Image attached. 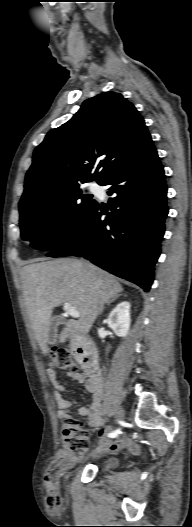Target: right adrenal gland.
<instances>
[{
  "label": "right adrenal gland",
  "mask_w": 192,
  "mask_h": 527,
  "mask_svg": "<svg viewBox=\"0 0 192 527\" xmlns=\"http://www.w3.org/2000/svg\"><path fill=\"white\" fill-rule=\"evenodd\" d=\"M119 296H121V294H119V295H117V296L111 298L109 301H107V302H106V306H109L111 303H113V302H114ZM106 306L103 305V306H101V307L99 308V315L104 311V309H105Z\"/></svg>",
  "instance_id": "2a0ac1e0"
}]
</instances>
